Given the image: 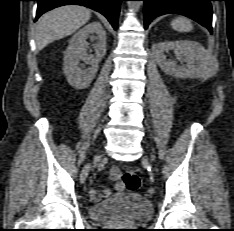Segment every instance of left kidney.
<instances>
[{
	"label": "left kidney",
	"instance_id": "5707ae66",
	"mask_svg": "<svg viewBox=\"0 0 234 231\" xmlns=\"http://www.w3.org/2000/svg\"><path fill=\"white\" fill-rule=\"evenodd\" d=\"M153 53L159 67L177 78L208 79L218 71V62L196 41H164L153 45ZM173 50L176 58L186 62V67L178 66L176 61L166 60L164 52Z\"/></svg>",
	"mask_w": 234,
	"mask_h": 231
}]
</instances>
